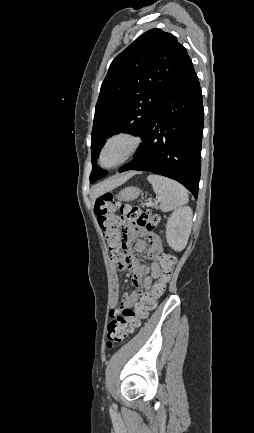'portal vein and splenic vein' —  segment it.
<instances>
[{
	"label": "portal vein and splenic vein",
	"mask_w": 254,
	"mask_h": 433,
	"mask_svg": "<svg viewBox=\"0 0 254 433\" xmlns=\"http://www.w3.org/2000/svg\"><path fill=\"white\" fill-rule=\"evenodd\" d=\"M159 199V198H158ZM153 205V202L152 201H149L148 203H147V206H152Z\"/></svg>",
	"instance_id": "portal-vein-and-splenic-vein-1"
}]
</instances>
